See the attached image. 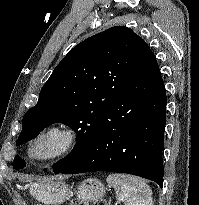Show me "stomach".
I'll use <instances>...</instances> for the list:
<instances>
[{
	"mask_svg": "<svg viewBox=\"0 0 199 205\" xmlns=\"http://www.w3.org/2000/svg\"><path fill=\"white\" fill-rule=\"evenodd\" d=\"M30 194L45 205H59L74 195L81 203L97 202L105 195V186L97 178H87L75 188L64 182H33Z\"/></svg>",
	"mask_w": 199,
	"mask_h": 205,
	"instance_id": "stomach-1",
	"label": "stomach"
}]
</instances>
